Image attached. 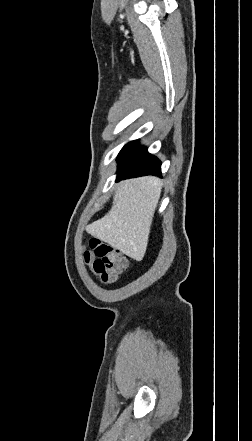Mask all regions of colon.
I'll use <instances>...</instances> for the list:
<instances>
[{
  "label": "colon",
  "instance_id": "colon-1",
  "mask_svg": "<svg viewBox=\"0 0 252 441\" xmlns=\"http://www.w3.org/2000/svg\"><path fill=\"white\" fill-rule=\"evenodd\" d=\"M89 247L84 253L85 262L104 284L115 282L127 266L126 258L119 250L97 239H92Z\"/></svg>",
  "mask_w": 252,
  "mask_h": 441
}]
</instances>
